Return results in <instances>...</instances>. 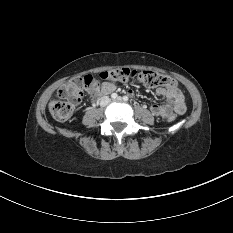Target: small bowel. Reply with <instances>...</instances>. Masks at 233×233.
Here are the masks:
<instances>
[{
	"instance_id": "obj_1",
	"label": "small bowel",
	"mask_w": 233,
	"mask_h": 233,
	"mask_svg": "<svg viewBox=\"0 0 233 233\" xmlns=\"http://www.w3.org/2000/svg\"><path fill=\"white\" fill-rule=\"evenodd\" d=\"M116 89V85L105 88L100 93H109ZM157 94L166 99V104L158 105L152 104L150 111L155 116L169 119L175 117V114L182 115L186 112V103L182 93L179 90L172 91L166 88H158Z\"/></svg>"
}]
</instances>
